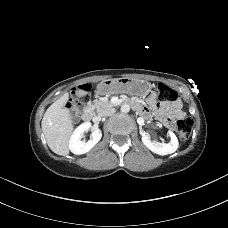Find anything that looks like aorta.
Segmentation results:
<instances>
[{
  "instance_id": "1",
  "label": "aorta",
  "mask_w": 228,
  "mask_h": 228,
  "mask_svg": "<svg viewBox=\"0 0 228 228\" xmlns=\"http://www.w3.org/2000/svg\"><path fill=\"white\" fill-rule=\"evenodd\" d=\"M130 111V106L128 104H123L121 106V112L128 113Z\"/></svg>"
}]
</instances>
